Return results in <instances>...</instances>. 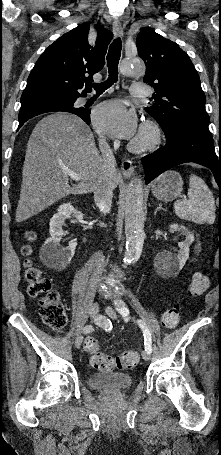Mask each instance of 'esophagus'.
I'll return each mask as SVG.
<instances>
[{
  "label": "esophagus",
  "instance_id": "esophagus-1",
  "mask_svg": "<svg viewBox=\"0 0 221 455\" xmlns=\"http://www.w3.org/2000/svg\"><path fill=\"white\" fill-rule=\"evenodd\" d=\"M113 32L116 36H122L123 35V28L121 26V23L118 19H115L113 21ZM121 171L122 174L125 178H130L133 174V167H132V162L129 159H124L121 162Z\"/></svg>",
  "mask_w": 221,
  "mask_h": 455
}]
</instances>
